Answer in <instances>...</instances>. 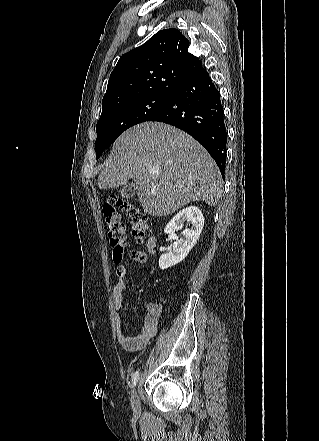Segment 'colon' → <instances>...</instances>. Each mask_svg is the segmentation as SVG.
Returning a JSON list of instances; mask_svg holds the SVG:
<instances>
[{
    "label": "colon",
    "mask_w": 319,
    "mask_h": 441,
    "mask_svg": "<svg viewBox=\"0 0 319 441\" xmlns=\"http://www.w3.org/2000/svg\"><path fill=\"white\" fill-rule=\"evenodd\" d=\"M117 208L123 210L129 220L131 235L142 242L148 229L146 215L128 200L111 194L103 204L104 224L108 232L109 244L113 249V260L119 263L124 255L127 235Z\"/></svg>",
    "instance_id": "colon-1"
}]
</instances>
